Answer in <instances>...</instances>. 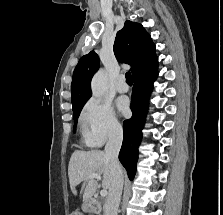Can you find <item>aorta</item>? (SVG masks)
<instances>
[{
  "label": "aorta",
  "instance_id": "1",
  "mask_svg": "<svg viewBox=\"0 0 223 215\" xmlns=\"http://www.w3.org/2000/svg\"><path fill=\"white\" fill-rule=\"evenodd\" d=\"M91 90L93 98H100V96H103V94L107 92L108 88L106 84V72L105 70H103V68H100L97 74L93 76L91 82Z\"/></svg>",
  "mask_w": 223,
  "mask_h": 215
}]
</instances>
